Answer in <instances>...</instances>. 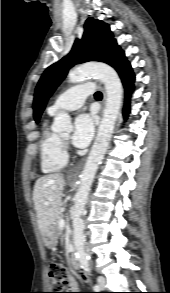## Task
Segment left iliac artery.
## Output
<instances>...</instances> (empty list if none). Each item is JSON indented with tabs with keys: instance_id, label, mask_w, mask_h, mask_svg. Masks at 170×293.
I'll use <instances>...</instances> for the list:
<instances>
[{
	"instance_id": "left-iliac-artery-1",
	"label": "left iliac artery",
	"mask_w": 170,
	"mask_h": 293,
	"mask_svg": "<svg viewBox=\"0 0 170 293\" xmlns=\"http://www.w3.org/2000/svg\"><path fill=\"white\" fill-rule=\"evenodd\" d=\"M84 270H85L86 272H88V273L91 272V269H90V267H88V266L85 267ZM93 289H94L95 291H98V290H100V287H99V285H94Z\"/></svg>"
}]
</instances>
